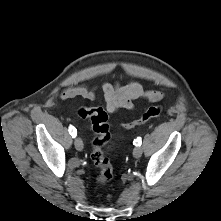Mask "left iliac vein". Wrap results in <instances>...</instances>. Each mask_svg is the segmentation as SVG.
<instances>
[{
	"instance_id": "left-iliac-vein-1",
	"label": "left iliac vein",
	"mask_w": 221,
	"mask_h": 221,
	"mask_svg": "<svg viewBox=\"0 0 221 221\" xmlns=\"http://www.w3.org/2000/svg\"><path fill=\"white\" fill-rule=\"evenodd\" d=\"M142 152H143L142 148L140 146H137L133 150V155L134 157L139 158L142 155Z\"/></svg>"
}]
</instances>
